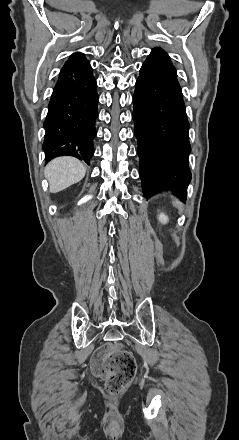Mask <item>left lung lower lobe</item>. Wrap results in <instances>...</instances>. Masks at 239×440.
I'll return each mask as SVG.
<instances>
[{
  "label": "left lung lower lobe",
  "mask_w": 239,
  "mask_h": 440,
  "mask_svg": "<svg viewBox=\"0 0 239 440\" xmlns=\"http://www.w3.org/2000/svg\"><path fill=\"white\" fill-rule=\"evenodd\" d=\"M133 104L144 196L169 185L186 201L191 179L189 122L176 70L162 49H153L142 65Z\"/></svg>",
  "instance_id": "obj_1"
}]
</instances>
